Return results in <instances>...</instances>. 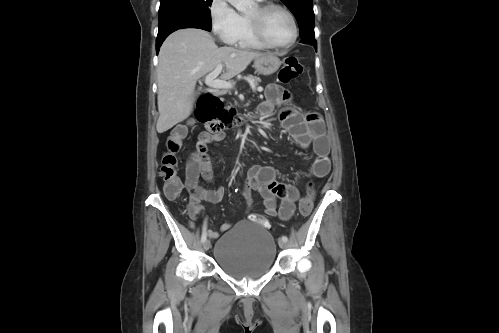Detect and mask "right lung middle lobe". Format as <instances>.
<instances>
[{
  "label": "right lung middle lobe",
  "instance_id": "1",
  "mask_svg": "<svg viewBox=\"0 0 499 333\" xmlns=\"http://www.w3.org/2000/svg\"><path fill=\"white\" fill-rule=\"evenodd\" d=\"M213 0H160L158 35L181 28L211 29Z\"/></svg>",
  "mask_w": 499,
  "mask_h": 333
}]
</instances>
